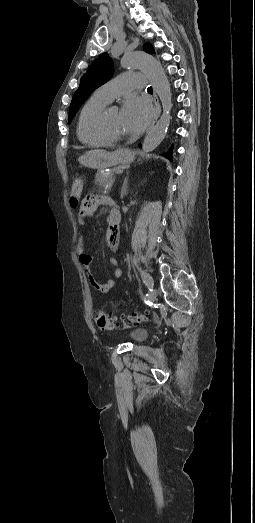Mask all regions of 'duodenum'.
I'll return each mask as SVG.
<instances>
[{"label":"duodenum","instance_id":"1","mask_svg":"<svg viewBox=\"0 0 255 523\" xmlns=\"http://www.w3.org/2000/svg\"><path fill=\"white\" fill-rule=\"evenodd\" d=\"M108 203L112 205V209L108 215L107 222L110 228L116 229L121 221V212L113 201L108 200Z\"/></svg>","mask_w":255,"mask_h":523}]
</instances>
